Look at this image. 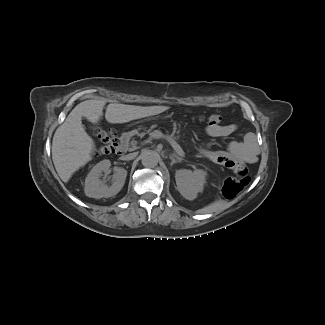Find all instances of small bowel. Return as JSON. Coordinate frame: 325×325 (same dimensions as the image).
Segmentation results:
<instances>
[{"instance_id": "c3829d8e", "label": "small bowel", "mask_w": 325, "mask_h": 325, "mask_svg": "<svg viewBox=\"0 0 325 325\" xmlns=\"http://www.w3.org/2000/svg\"><path fill=\"white\" fill-rule=\"evenodd\" d=\"M204 129L208 136L222 138L234 134L238 126L235 123L212 125L207 122ZM204 154L214 163L226 166L232 165L234 162H252L255 159L253 151L248 149L241 141L230 142L225 151L204 152Z\"/></svg>"}]
</instances>
